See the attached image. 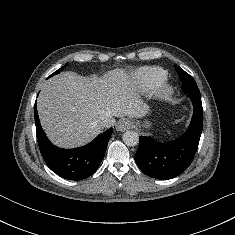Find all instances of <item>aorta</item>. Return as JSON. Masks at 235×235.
<instances>
[{
    "label": "aorta",
    "instance_id": "762f6f07",
    "mask_svg": "<svg viewBox=\"0 0 235 235\" xmlns=\"http://www.w3.org/2000/svg\"><path fill=\"white\" fill-rule=\"evenodd\" d=\"M123 141L127 146H135L139 143V135L135 131H126L123 134Z\"/></svg>",
    "mask_w": 235,
    "mask_h": 235
}]
</instances>
